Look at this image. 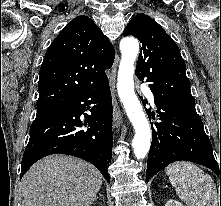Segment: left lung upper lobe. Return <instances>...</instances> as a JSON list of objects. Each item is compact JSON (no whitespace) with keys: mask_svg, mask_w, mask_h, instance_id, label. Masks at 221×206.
<instances>
[{"mask_svg":"<svg viewBox=\"0 0 221 206\" xmlns=\"http://www.w3.org/2000/svg\"><path fill=\"white\" fill-rule=\"evenodd\" d=\"M123 35H133L142 44L136 76L149 83L154 98L174 108L195 110L185 62L172 38L152 18L136 15Z\"/></svg>","mask_w":221,"mask_h":206,"instance_id":"left-lung-upper-lobe-1","label":"left lung upper lobe"}]
</instances>
